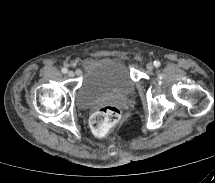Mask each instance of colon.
<instances>
[{
	"instance_id": "colon-1",
	"label": "colon",
	"mask_w": 215,
	"mask_h": 183,
	"mask_svg": "<svg viewBox=\"0 0 215 183\" xmlns=\"http://www.w3.org/2000/svg\"><path fill=\"white\" fill-rule=\"evenodd\" d=\"M120 119L118 107L110 105L95 111L90 118V127L97 136H105Z\"/></svg>"
}]
</instances>
